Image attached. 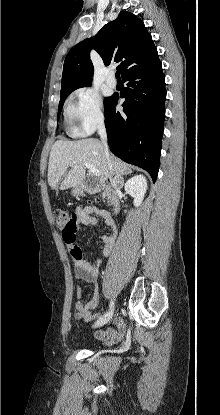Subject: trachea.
<instances>
[{
    "label": "trachea",
    "mask_w": 220,
    "mask_h": 415,
    "mask_svg": "<svg viewBox=\"0 0 220 415\" xmlns=\"http://www.w3.org/2000/svg\"><path fill=\"white\" fill-rule=\"evenodd\" d=\"M115 75H116L117 79H120V72L119 71H116Z\"/></svg>",
    "instance_id": "trachea-1"
}]
</instances>
